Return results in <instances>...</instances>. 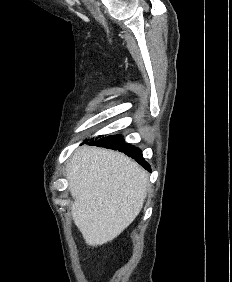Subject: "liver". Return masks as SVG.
<instances>
[{
    "label": "liver",
    "mask_w": 232,
    "mask_h": 282,
    "mask_svg": "<svg viewBox=\"0 0 232 282\" xmlns=\"http://www.w3.org/2000/svg\"><path fill=\"white\" fill-rule=\"evenodd\" d=\"M66 177L74 223L90 246L122 233L140 213L148 188V174L134 160L97 147L78 149Z\"/></svg>",
    "instance_id": "1"
}]
</instances>
